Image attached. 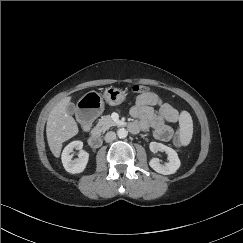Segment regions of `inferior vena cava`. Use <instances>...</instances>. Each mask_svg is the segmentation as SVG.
Returning <instances> with one entry per match:
<instances>
[{
    "label": "inferior vena cava",
    "mask_w": 243,
    "mask_h": 243,
    "mask_svg": "<svg viewBox=\"0 0 243 243\" xmlns=\"http://www.w3.org/2000/svg\"><path fill=\"white\" fill-rule=\"evenodd\" d=\"M115 138H116V134H115V132H113V131H109V132L106 133V135H105V137H104V140H105L106 142H112V141L115 140Z\"/></svg>",
    "instance_id": "inferior-vena-cava-1"
}]
</instances>
